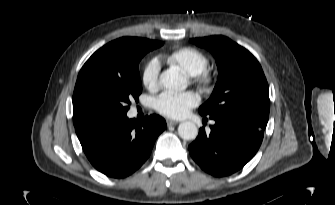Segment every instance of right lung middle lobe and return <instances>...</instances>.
Masks as SVG:
<instances>
[{"label":"right lung middle lobe","instance_id":"right-lung-middle-lobe-1","mask_svg":"<svg viewBox=\"0 0 335 205\" xmlns=\"http://www.w3.org/2000/svg\"><path fill=\"white\" fill-rule=\"evenodd\" d=\"M162 42H126L118 46L124 51L127 63L118 71H97L76 82L73 93L74 126L127 114L130 101L142 92L139 62Z\"/></svg>","mask_w":335,"mask_h":205}]
</instances>
